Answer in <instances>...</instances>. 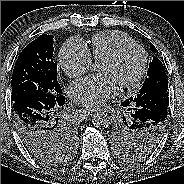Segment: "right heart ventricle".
I'll return each instance as SVG.
<instances>
[{"mask_svg": "<svg viewBox=\"0 0 184 184\" xmlns=\"http://www.w3.org/2000/svg\"><path fill=\"white\" fill-rule=\"evenodd\" d=\"M128 44H134V40L127 34L119 31H103L92 37L89 51L92 59L101 61Z\"/></svg>", "mask_w": 184, "mask_h": 184, "instance_id": "obj_1", "label": "right heart ventricle"}]
</instances>
